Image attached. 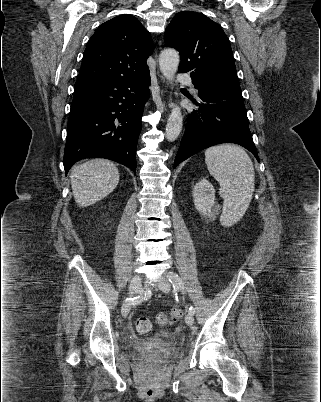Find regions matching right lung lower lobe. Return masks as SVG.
I'll return each mask as SVG.
<instances>
[{"instance_id":"obj_1","label":"right lung lower lobe","mask_w":321,"mask_h":402,"mask_svg":"<svg viewBox=\"0 0 321 402\" xmlns=\"http://www.w3.org/2000/svg\"><path fill=\"white\" fill-rule=\"evenodd\" d=\"M149 84L147 72L74 87L63 160L66 174L77 161L96 157L117 161L136 172L137 141Z\"/></svg>"}]
</instances>
